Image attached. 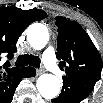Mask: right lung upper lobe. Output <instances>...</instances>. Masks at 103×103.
I'll list each match as a JSON object with an SVG mask.
<instances>
[{
	"instance_id": "cb5924a9",
	"label": "right lung upper lobe",
	"mask_w": 103,
	"mask_h": 103,
	"mask_svg": "<svg viewBox=\"0 0 103 103\" xmlns=\"http://www.w3.org/2000/svg\"><path fill=\"white\" fill-rule=\"evenodd\" d=\"M43 10L33 8L21 10L13 7L0 8V61L3 56L13 58L16 43L22 32L34 21L44 19ZM22 68L10 67L9 61L0 63V82L17 77Z\"/></svg>"
}]
</instances>
